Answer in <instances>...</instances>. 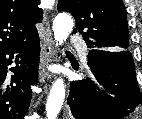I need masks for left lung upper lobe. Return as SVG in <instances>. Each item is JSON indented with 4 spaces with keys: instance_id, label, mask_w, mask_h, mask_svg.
<instances>
[{
    "instance_id": "obj_1",
    "label": "left lung upper lobe",
    "mask_w": 142,
    "mask_h": 119,
    "mask_svg": "<svg viewBox=\"0 0 142 119\" xmlns=\"http://www.w3.org/2000/svg\"><path fill=\"white\" fill-rule=\"evenodd\" d=\"M58 11L74 16L73 33H81L88 48L129 49L127 15L122 0H59Z\"/></svg>"
}]
</instances>
